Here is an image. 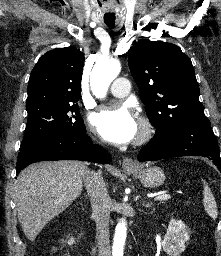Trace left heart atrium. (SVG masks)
<instances>
[{
  "label": "left heart atrium",
  "instance_id": "1",
  "mask_svg": "<svg viewBox=\"0 0 221 256\" xmlns=\"http://www.w3.org/2000/svg\"><path fill=\"white\" fill-rule=\"evenodd\" d=\"M91 124L105 140L116 144L132 141L140 129L137 117L128 104L95 113Z\"/></svg>",
  "mask_w": 221,
  "mask_h": 256
}]
</instances>
